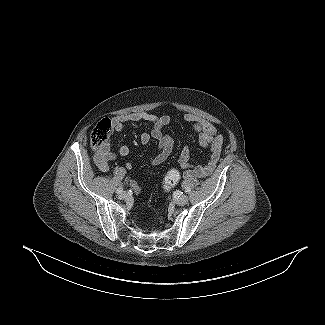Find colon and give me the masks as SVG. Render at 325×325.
Segmentation results:
<instances>
[{"label":"colon","instance_id":"colon-1","mask_svg":"<svg viewBox=\"0 0 325 325\" xmlns=\"http://www.w3.org/2000/svg\"><path fill=\"white\" fill-rule=\"evenodd\" d=\"M112 132V123L109 119L101 120L92 130L90 145L94 149L102 148L108 141ZM180 180V173L177 169H169L163 179L164 188L170 190Z\"/></svg>","mask_w":325,"mask_h":325}]
</instances>
